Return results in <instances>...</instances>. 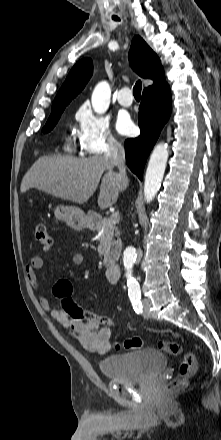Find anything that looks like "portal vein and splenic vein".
Masks as SVG:
<instances>
[{"instance_id": "obj_1", "label": "portal vein and splenic vein", "mask_w": 221, "mask_h": 440, "mask_svg": "<svg viewBox=\"0 0 221 440\" xmlns=\"http://www.w3.org/2000/svg\"><path fill=\"white\" fill-rule=\"evenodd\" d=\"M119 220H120V215H119V213H117V212L112 213V215L110 216V222H111L112 224H117V223L119 222Z\"/></svg>"}]
</instances>
